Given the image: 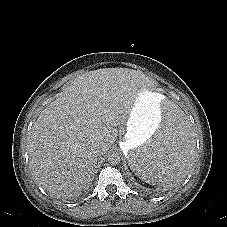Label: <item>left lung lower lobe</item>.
Here are the masks:
<instances>
[{"label":"left lung lower lobe","instance_id":"0a47b994","mask_svg":"<svg viewBox=\"0 0 227 227\" xmlns=\"http://www.w3.org/2000/svg\"><path fill=\"white\" fill-rule=\"evenodd\" d=\"M177 124H178V120H177ZM176 137H178V142H179V141H180V140H179V136L177 135ZM176 139H177V138H176ZM178 142H177V144H178Z\"/></svg>","mask_w":227,"mask_h":227}]
</instances>
